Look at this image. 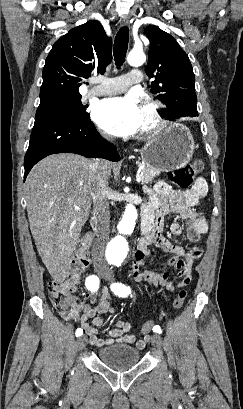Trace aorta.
Returning <instances> with one entry per match:
<instances>
[{
  "mask_svg": "<svg viewBox=\"0 0 243 409\" xmlns=\"http://www.w3.org/2000/svg\"><path fill=\"white\" fill-rule=\"evenodd\" d=\"M128 63L131 66H141L146 57L142 51H131L128 55ZM138 213L135 206L131 203L127 204L125 207V212L118 225V235L115 236L110 242V250L113 254L124 257L128 252V243L126 241V236L132 234L135 228L136 219Z\"/></svg>",
  "mask_w": 243,
  "mask_h": 409,
  "instance_id": "obj_1",
  "label": "aorta"
}]
</instances>
